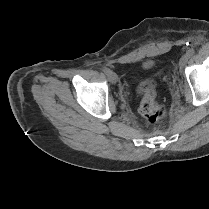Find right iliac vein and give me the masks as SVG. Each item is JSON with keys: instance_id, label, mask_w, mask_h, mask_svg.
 <instances>
[{"instance_id": "right-iliac-vein-1", "label": "right iliac vein", "mask_w": 209, "mask_h": 209, "mask_svg": "<svg viewBox=\"0 0 209 209\" xmlns=\"http://www.w3.org/2000/svg\"><path fill=\"white\" fill-rule=\"evenodd\" d=\"M108 79L111 83H116L117 80H118V76L115 72L111 71L109 74H108Z\"/></svg>"}]
</instances>
